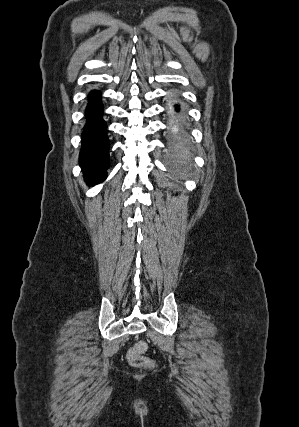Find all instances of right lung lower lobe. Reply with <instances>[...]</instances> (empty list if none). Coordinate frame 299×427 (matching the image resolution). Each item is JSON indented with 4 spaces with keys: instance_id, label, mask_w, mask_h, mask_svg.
Listing matches in <instances>:
<instances>
[{
    "instance_id": "98d812e1",
    "label": "right lung lower lobe",
    "mask_w": 299,
    "mask_h": 427,
    "mask_svg": "<svg viewBox=\"0 0 299 427\" xmlns=\"http://www.w3.org/2000/svg\"><path fill=\"white\" fill-rule=\"evenodd\" d=\"M102 113L100 93L93 91L89 95L86 109L87 120L82 134V148L79 156L84 178L90 185L100 183L107 177L109 140Z\"/></svg>"
}]
</instances>
